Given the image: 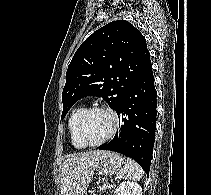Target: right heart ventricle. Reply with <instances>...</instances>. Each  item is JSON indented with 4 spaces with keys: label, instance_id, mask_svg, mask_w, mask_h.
Masks as SVG:
<instances>
[{
    "label": "right heart ventricle",
    "instance_id": "1",
    "mask_svg": "<svg viewBox=\"0 0 211 195\" xmlns=\"http://www.w3.org/2000/svg\"><path fill=\"white\" fill-rule=\"evenodd\" d=\"M85 106H79L74 108L68 118V131H69V135H70V140L72 145L76 148V149H83L85 148L81 142L79 141V139L77 138L76 135V125H77V120L79 118V116L81 115V113L85 110Z\"/></svg>",
    "mask_w": 211,
    "mask_h": 195
}]
</instances>
